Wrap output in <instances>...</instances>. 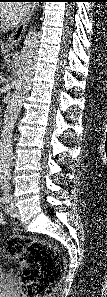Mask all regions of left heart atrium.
Listing matches in <instances>:
<instances>
[{"label":"left heart atrium","mask_w":107,"mask_h":297,"mask_svg":"<svg viewBox=\"0 0 107 297\" xmlns=\"http://www.w3.org/2000/svg\"><path fill=\"white\" fill-rule=\"evenodd\" d=\"M28 8L26 3L8 4L2 13L8 22H16L26 15Z\"/></svg>","instance_id":"obj_1"}]
</instances>
